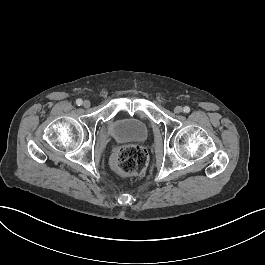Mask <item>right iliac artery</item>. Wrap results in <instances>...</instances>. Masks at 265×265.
Listing matches in <instances>:
<instances>
[{"instance_id":"obj_1","label":"right iliac artery","mask_w":265,"mask_h":265,"mask_svg":"<svg viewBox=\"0 0 265 265\" xmlns=\"http://www.w3.org/2000/svg\"><path fill=\"white\" fill-rule=\"evenodd\" d=\"M82 103H83L82 99H77V100H76V104H77L78 106L82 105Z\"/></svg>"}]
</instances>
